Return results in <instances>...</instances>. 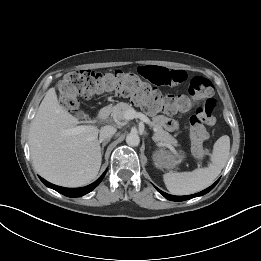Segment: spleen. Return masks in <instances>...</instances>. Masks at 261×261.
<instances>
[{
	"mask_svg": "<svg viewBox=\"0 0 261 261\" xmlns=\"http://www.w3.org/2000/svg\"><path fill=\"white\" fill-rule=\"evenodd\" d=\"M229 151V136H221L213 146L211 163L208 167L192 172L166 173L163 175L166 188L173 195H189L209 187L226 165Z\"/></svg>",
	"mask_w": 261,
	"mask_h": 261,
	"instance_id": "1",
	"label": "spleen"
}]
</instances>
